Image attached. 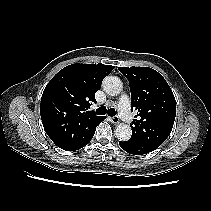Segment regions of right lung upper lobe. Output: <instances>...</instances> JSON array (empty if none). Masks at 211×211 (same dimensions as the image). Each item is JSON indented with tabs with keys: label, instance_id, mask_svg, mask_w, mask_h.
Returning <instances> with one entry per match:
<instances>
[{
	"label": "right lung upper lobe",
	"instance_id": "cb5924a9",
	"mask_svg": "<svg viewBox=\"0 0 211 211\" xmlns=\"http://www.w3.org/2000/svg\"><path fill=\"white\" fill-rule=\"evenodd\" d=\"M114 66L72 64L60 70L44 89L40 104L43 127L61 149L74 151L103 116L87 111Z\"/></svg>",
	"mask_w": 211,
	"mask_h": 211
}]
</instances>
